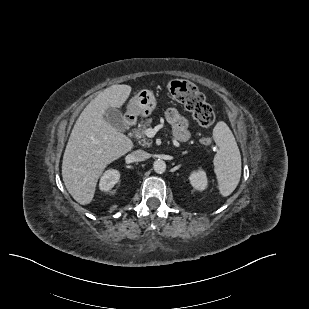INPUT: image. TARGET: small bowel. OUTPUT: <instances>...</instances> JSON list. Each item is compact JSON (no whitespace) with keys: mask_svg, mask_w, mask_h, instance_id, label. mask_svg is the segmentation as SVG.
Returning a JSON list of instances; mask_svg holds the SVG:
<instances>
[{"mask_svg":"<svg viewBox=\"0 0 309 309\" xmlns=\"http://www.w3.org/2000/svg\"><path fill=\"white\" fill-rule=\"evenodd\" d=\"M167 121L173 126L175 140L184 142L190 137L187 120L175 108H169L166 112Z\"/></svg>","mask_w":309,"mask_h":309,"instance_id":"1","label":"small bowel"}]
</instances>
